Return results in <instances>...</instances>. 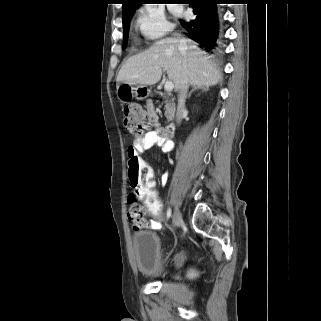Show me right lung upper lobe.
<instances>
[{
  "label": "right lung upper lobe",
  "mask_w": 321,
  "mask_h": 321,
  "mask_svg": "<svg viewBox=\"0 0 321 321\" xmlns=\"http://www.w3.org/2000/svg\"><path fill=\"white\" fill-rule=\"evenodd\" d=\"M148 0H123L122 15L135 12L136 8Z\"/></svg>",
  "instance_id": "cb5924a9"
}]
</instances>
